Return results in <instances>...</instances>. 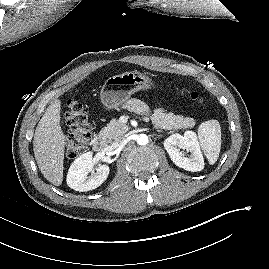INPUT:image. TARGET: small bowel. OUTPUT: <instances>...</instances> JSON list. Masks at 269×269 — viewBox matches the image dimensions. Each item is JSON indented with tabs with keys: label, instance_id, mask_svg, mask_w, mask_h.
Listing matches in <instances>:
<instances>
[{
	"label": "small bowel",
	"instance_id": "obj_1",
	"mask_svg": "<svg viewBox=\"0 0 269 269\" xmlns=\"http://www.w3.org/2000/svg\"><path fill=\"white\" fill-rule=\"evenodd\" d=\"M127 106L130 110L137 113H144L147 110L146 104L139 99H131Z\"/></svg>",
	"mask_w": 269,
	"mask_h": 269
}]
</instances>
